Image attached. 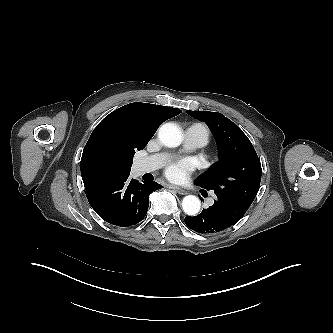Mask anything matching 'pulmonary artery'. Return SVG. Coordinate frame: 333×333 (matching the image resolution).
<instances>
[{
    "label": "pulmonary artery",
    "mask_w": 333,
    "mask_h": 333,
    "mask_svg": "<svg viewBox=\"0 0 333 333\" xmlns=\"http://www.w3.org/2000/svg\"><path fill=\"white\" fill-rule=\"evenodd\" d=\"M208 142V131L202 124H193L185 130L183 148L191 151L203 147ZM166 154H156L137 162V170L140 174L152 172L158 169L167 159Z\"/></svg>",
    "instance_id": "pulmonary-artery-1"
}]
</instances>
